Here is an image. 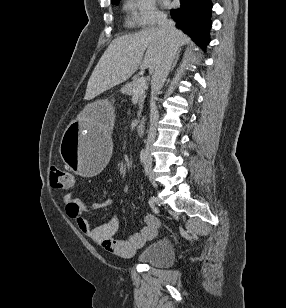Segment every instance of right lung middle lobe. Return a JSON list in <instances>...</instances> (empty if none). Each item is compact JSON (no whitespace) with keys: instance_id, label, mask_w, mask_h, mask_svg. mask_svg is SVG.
Here are the masks:
<instances>
[{"instance_id":"1","label":"right lung middle lobe","mask_w":286,"mask_h":308,"mask_svg":"<svg viewBox=\"0 0 286 308\" xmlns=\"http://www.w3.org/2000/svg\"><path fill=\"white\" fill-rule=\"evenodd\" d=\"M111 2H112V4L117 5L120 2V0H114V1H111Z\"/></svg>"}]
</instances>
